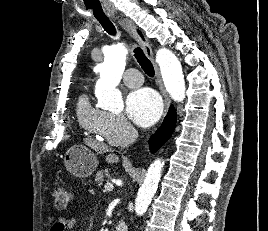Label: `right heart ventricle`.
Instances as JSON below:
<instances>
[{
	"label": "right heart ventricle",
	"instance_id": "1",
	"mask_svg": "<svg viewBox=\"0 0 268 231\" xmlns=\"http://www.w3.org/2000/svg\"><path fill=\"white\" fill-rule=\"evenodd\" d=\"M76 114L80 126L88 134L101 138L100 127L106 113L102 109L93 106L85 93L78 99Z\"/></svg>",
	"mask_w": 268,
	"mask_h": 231
}]
</instances>
